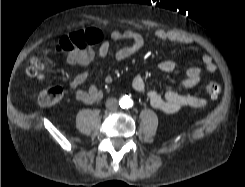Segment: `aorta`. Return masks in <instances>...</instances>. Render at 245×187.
<instances>
[{
  "instance_id": "1",
  "label": "aorta",
  "mask_w": 245,
  "mask_h": 187,
  "mask_svg": "<svg viewBox=\"0 0 245 187\" xmlns=\"http://www.w3.org/2000/svg\"><path fill=\"white\" fill-rule=\"evenodd\" d=\"M120 105L122 108H128L131 105V100L129 97L125 96L121 99Z\"/></svg>"
}]
</instances>
